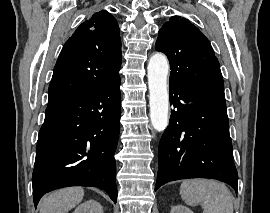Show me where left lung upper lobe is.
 I'll return each mask as SVG.
<instances>
[{"mask_svg":"<svg viewBox=\"0 0 270 213\" xmlns=\"http://www.w3.org/2000/svg\"><path fill=\"white\" fill-rule=\"evenodd\" d=\"M155 49L169 59L170 84L225 98L220 65L211 44L187 19L171 17L159 30Z\"/></svg>","mask_w":270,"mask_h":213,"instance_id":"left-lung-upper-lobe-1","label":"left lung upper lobe"}]
</instances>
